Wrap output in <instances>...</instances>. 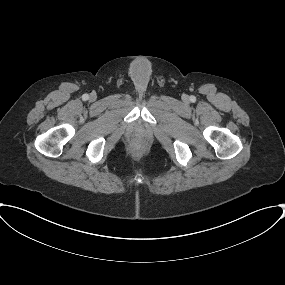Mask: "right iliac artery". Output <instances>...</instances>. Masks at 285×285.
<instances>
[{
  "instance_id": "right-iliac-artery-1",
  "label": "right iliac artery",
  "mask_w": 285,
  "mask_h": 285,
  "mask_svg": "<svg viewBox=\"0 0 285 285\" xmlns=\"http://www.w3.org/2000/svg\"><path fill=\"white\" fill-rule=\"evenodd\" d=\"M88 98H89L88 94H84V95L82 96V99H83V100H87Z\"/></svg>"
}]
</instances>
